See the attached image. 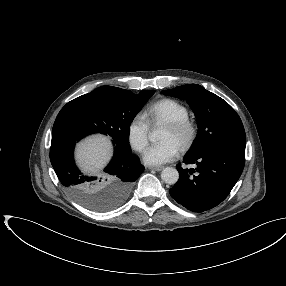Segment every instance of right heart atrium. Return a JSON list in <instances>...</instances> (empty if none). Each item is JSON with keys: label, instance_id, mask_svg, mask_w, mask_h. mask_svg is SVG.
Returning <instances> with one entry per match:
<instances>
[{"label": "right heart atrium", "instance_id": "obj_1", "mask_svg": "<svg viewBox=\"0 0 286 286\" xmlns=\"http://www.w3.org/2000/svg\"><path fill=\"white\" fill-rule=\"evenodd\" d=\"M149 121L142 114L135 115L128 124L127 138L131 147L137 152H143L149 141Z\"/></svg>", "mask_w": 286, "mask_h": 286}]
</instances>
